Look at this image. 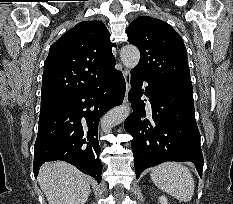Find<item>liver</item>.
<instances>
[{
  "label": "liver",
  "mask_w": 233,
  "mask_h": 204,
  "mask_svg": "<svg viewBox=\"0 0 233 204\" xmlns=\"http://www.w3.org/2000/svg\"><path fill=\"white\" fill-rule=\"evenodd\" d=\"M38 182L49 204H85L90 194L88 178L63 161L42 165Z\"/></svg>",
  "instance_id": "1"
}]
</instances>
